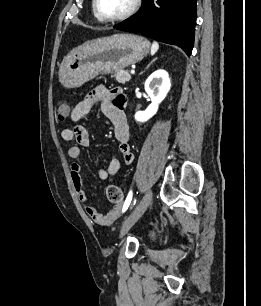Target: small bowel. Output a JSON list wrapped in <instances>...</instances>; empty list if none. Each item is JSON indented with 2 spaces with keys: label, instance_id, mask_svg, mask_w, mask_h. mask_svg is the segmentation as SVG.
Returning <instances> with one entry per match:
<instances>
[{
  "label": "small bowel",
  "instance_id": "1",
  "mask_svg": "<svg viewBox=\"0 0 261 306\" xmlns=\"http://www.w3.org/2000/svg\"><path fill=\"white\" fill-rule=\"evenodd\" d=\"M125 98L120 88L107 89L97 87L79 101L70 113V119L73 122L72 128H65L61 131V138L64 141H75L77 145L71 146L67 150V155L71 159H76L81 155V147H87L90 143V137L87 129L80 122L88 117L96 108H100L103 114L112 122L114 127V136L118 141V148L121 154V161L112 158L107 168H98L97 175L101 180H106L109 176L115 175L121 163L130 165L133 162L134 155L129 144L130 132L127 117L124 111ZM80 165L73 162L70 165V175L78 199L83 203L86 213L94 223L99 226H110L119 217L122 205L114 206L106 214L99 213L88 201L83 188L80 175Z\"/></svg>",
  "mask_w": 261,
  "mask_h": 306
}]
</instances>
